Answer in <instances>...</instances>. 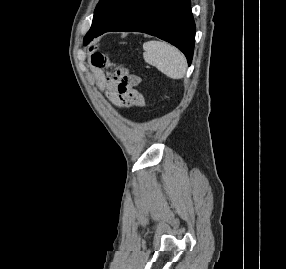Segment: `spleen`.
I'll list each match as a JSON object with an SVG mask.
<instances>
[{"mask_svg":"<svg viewBox=\"0 0 286 269\" xmlns=\"http://www.w3.org/2000/svg\"><path fill=\"white\" fill-rule=\"evenodd\" d=\"M144 60L173 79L184 77L187 62L185 56L175 47L165 42L147 41L143 44Z\"/></svg>","mask_w":286,"mask_h":269,"instance_id":"1","label":"spleen"}]
</instances>
